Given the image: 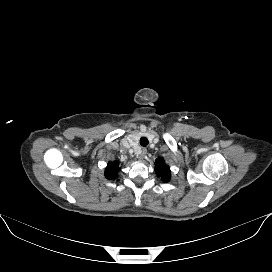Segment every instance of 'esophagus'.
Wrapping results in <instances>:
<instances>
[{
    "instance_id": "1",
    "label": "esophagus",
    "mask_w": 272,
    "mask_h": 272,
    "mask_svg": "<svg viewBox=\"0 0 272 272\" xmlns=\"http://www.w3.org/2000/svg\"><path fill=\"white\" fill-rule=\"evenodd\" d=\"M146 149H141V150H139L138 152H137V158L139 159V160H143V158L145 157V155H146Z\"/></svg>"
}]
</instances>
